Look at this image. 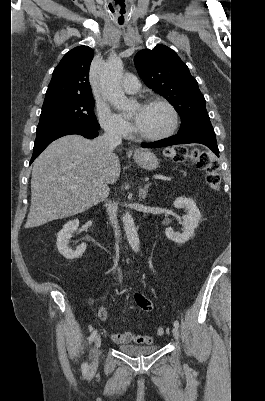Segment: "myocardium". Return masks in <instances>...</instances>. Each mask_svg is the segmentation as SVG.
<instances>
[{
    "instance_id": "1",
    "label": "myocardium",
    "mask_w": 265,
    "mask_h": 401,
    "mask_svg": "<svg viewBox=\"0 0 265 401\" xmlns=\"http://www.w3.org/2000/svg\"><path fill=\"white\" fill-rule=\"evenodd\" d=\"M155 104L164 106L170 112V115H171L170 124L167 128H165L163 131H161L158 134L139 135V138L142 140H147V141L160 140V139L165 138V137L169 136L170 134H172L178 126V122H179L178 112L171 103H169L168 101L161 99V98L148 99L147 101L144 102V106H150V105H155ZM135 130L137 132L136 126H135Z\"/></svg>"
}]
</instances>
